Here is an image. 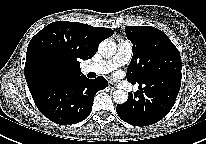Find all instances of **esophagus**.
Masks as SVG:
<instances>
[{
  "label": "esophagus",
  "instance_id": "1",
  "mask_svg": "<svg viewBox=\"0 0 206 144\" xmlns=\"http://www.w3.org/2000/svg\"><path fill=\"white\" fill-rule=\"evenodd\" d=\"M108 87L111 88V89H116V88H117V84L114 83V82H112V81H110V82L108 83Z\"/></svg>",
  "mask_w": 206,
  "mask_h": 144
}]
</instances>
